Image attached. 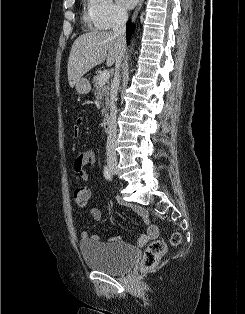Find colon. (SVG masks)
I'll return each mask as SVG.
<instances>
[{
    "instance_id": "5ec220e1",
    "label": "colon",
    "mask_w": 245,
    "mask_h": 314,
    "mask_svg": "<svg viewBox=\"0 0 245 314\" xmlns=\"http://www.w3.org/2000/svg\"><path fill=\"white\" fill-rule=\"evenodd\" d=\"M90 190L87 187L80 186L73 191V198L77 205L86 206L90 201ZM181 236L175 233L170 238L172 245H178L180 243ZM167 251V244L163 240L153 241L145 250L141 268L142 270H148L153 268L160 259L165 255Z\"/></svg>"
}]
</instances>
